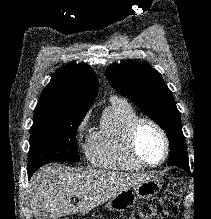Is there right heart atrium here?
<instances>
[{
	"label": "right heart atrium",
	"instance_id": "1",
	"mask_svg": "<svg viewBox=\"0 0 211 219\" xmlns=\"http://www.w3.org/2000/svg\"><path fill=\"white\" fill-rule=\"evenodd\" d=\"M87 118H83L77 125L75 133L77 137H80L86 130Z\"/></svg>",
	"mask_w": 211,
	"mask_h": 219
}]
</instances>
